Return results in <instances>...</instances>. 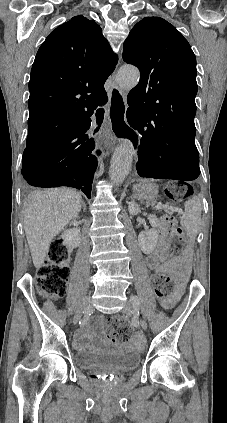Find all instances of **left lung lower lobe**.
Listing matches in <instances>:
<instances>
[{"instance_id": "left-lung-lower-lobe-1", "label": "left lung lower lobe", "mask_w": 227, "mask_h": 423, "mask_svg": "<svg viewBox=\"0 0 227 423\" xmlns=\"http://www.w3.org/2000/svg\"><path fill=\"white\" fill-rule=\"evenodd\" d=\"M127 121L142 135L138 147V174L158 179L195 180L200 174L194 143L195 114L127 109Z\"/></svg>"}]
</instances>
